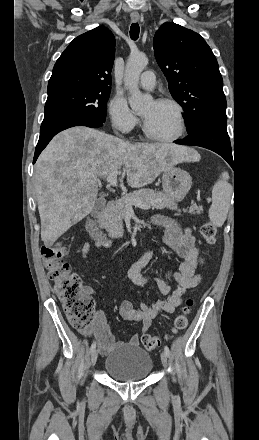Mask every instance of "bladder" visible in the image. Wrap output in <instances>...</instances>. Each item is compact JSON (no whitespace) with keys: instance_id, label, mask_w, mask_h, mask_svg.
Masks as SVG:
<instances>
[{"instance_id":"1","label":"bladder","mask_w":259,"mask_h":440,"mask_svg":"<svg viewBox=\"0 0 259 440\" xmlns=\"http://www.w3.org/2000/svg\"><path fill=\"white\" fill-rule=\"evenodd\" d=\"M153 367L150 354L139 346L120 345L111 351L104 362L106 373L119 382L144 380Z\"/></svg>"}]
</instances>
